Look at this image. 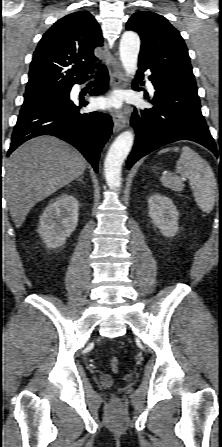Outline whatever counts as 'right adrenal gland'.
Segmentation results:
<instances>
[{"label":"right adrenal gland","mask_w":222,"mask_h":447,"mask_svg":"<svg viewBox=\"0 0 222 447\" xmlns=\"http://www.w3.org/2000/svg\"><path fill=\"white\" fill-rule=\"evenodd\" d=\"M77 181H80V182L84 183V182H83V176L80 177Z\"/></svg>","instance_id":"1"}]
</instances>
